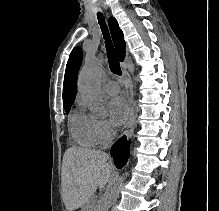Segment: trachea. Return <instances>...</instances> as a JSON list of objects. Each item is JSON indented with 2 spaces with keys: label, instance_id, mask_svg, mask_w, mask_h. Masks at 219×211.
I'll return each mask as SVG.
<instances>
[{
  "label": "trachea",
  "instance_id": "trachea-1",
  "mask_svg": "<svg viewBox=\"0 0 219 211\" xmlns=\"http://www.w3.org/2000/svg\"><path fill=\"white\" fill-rule=\"evenodd\" d=\"M97 18H98L99 25H100V28H101L102 33H103V37L105 39L106 51H107V55H108V62H109L110 70L115 75H121L122 72H121L119 60L116 56L115 49H114V46H113L112 41H111V37L109 35V31H108L107 25L105 23L104 16L102 15L101 12H98Z\"/></svg>",
  "mask_w": 219,
  "mask_h": 211
}]
</instances>
